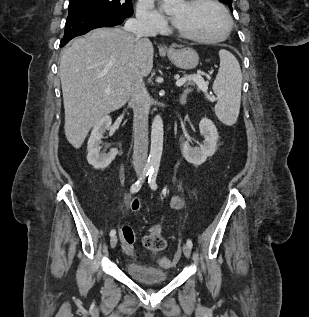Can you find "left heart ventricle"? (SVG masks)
Returning <instances> with one entry per match:
<instances>
[{
	"label": "left heart ventricle",
	"mask_w": 309,
	"mask_h": 317,
	"mask_svg": "<svg viewBox=\"0 0 309 317\" xmlns=\"http://www.w3.org/2000/svg\"><path fill=\"white\" fill-rule=\"evenodd\" d=\"M171 16L179 30L200 37H218L226 27L222 13L209 3L189 6L181 2L172 10Z\"/></svg>",
	"instance_id": "b2bd125f"
}]
</instances>
